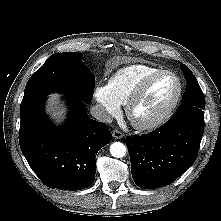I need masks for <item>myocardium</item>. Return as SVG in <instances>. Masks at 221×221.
<instances>
[{"mask_svg":"<svg viewBox=\"0 0 221 221\" xmlns=\"http://www.w3.org/2000/svg\"><path fill=\"white\" fill-rule=\"evenodd\" d=\"M163 75H170L172 76L177 85L176 93L172 99V101L168 104V106L155 118L146 121V122H136L132 118V113L137 105V103L140 101L142 96L144 95L147 87L149 84L157 79L160 76ZM182 96V83L180 78L172 71L170 70H159L157 72H154L148 76H146L136 87L132 95L130 96L129 100L125 104V113L128 118V120L131 122L134 128L142 131L146 130H152L160 125H162L164 122H166L170 116L173 114L174 110L176 109L180 99Z\"/></svg>","mask_w":221,"mask_h":221,"instance_id":"myocardium-1","label":"myocardium"}]
</instances>
